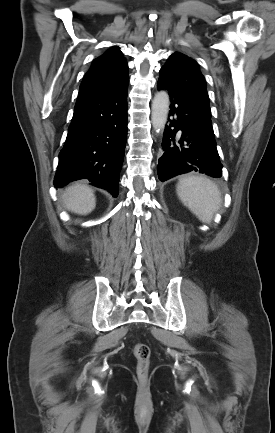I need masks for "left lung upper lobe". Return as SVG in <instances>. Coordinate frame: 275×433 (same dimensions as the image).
<instances>
[{
    "label": "left lung upper lobe",
    "instance_id": "left-lung-upper-lobe-1",
    "mask_svg": "<svg viewBox=\"0 0 275 433\" xmlns=\"http://www.w3.org/2000/svg\"><path fill=\"white\" fill-rule=\"evenodd\" d=\"M159 79L165 80L169 86L192 101L205 115L206 120L211 123L205 79L196 61L182 53L175 52L161 68Z\"/></svg>",
    "mask_w": 275,
    "mask_h": 433
}]
</instances>
